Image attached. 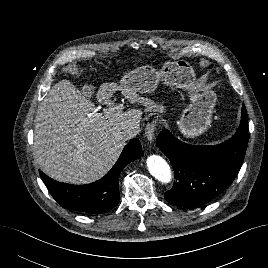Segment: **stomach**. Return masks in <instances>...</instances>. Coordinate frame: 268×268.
I'll return each mask as SVG.
<instances>
[{
  "instance_id": "obj_1",
  "label": "stomach",
  "mask_w": 268,
  "mask_h": 268,
  "mask_svg": "<svg viewBox=\"0 0 268 268\" xmlns=\"http://www.w3.org/2000/svg\"><path fill=\"white\" fill-rule=\"evenodd\" d=\"M159 81L171 88L187 91L190 104L183 109L177 122L181 133L186 137H196L204 133L211 124L216 103V94L198 87L193 66L185 60L167 61L161 70L145 65L125 73L119 81L121 91L152 93Z\"/></svg>"
}]
</instances>
